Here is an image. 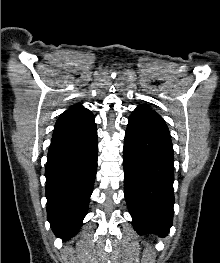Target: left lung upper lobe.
<instances>
[{"label": "left lung upper lobe", "mask_w": 220, "mask_h": 263, "mask_svg": "<svg viewBox=\"0 0 220 263\" xmlns=\"http://www.w3.org/2000/svg\"><path fill=\"white\" fill-rule=\"evenodd\" d=\"M135 119L142 120L146 123H150L151 125L163 129L164 131L169 132L167 125L165 124V121L162 119V117L153 111L151 108L139 105L130 116Z\"/></svg>", "instance_id": "1"}]
</instances>
